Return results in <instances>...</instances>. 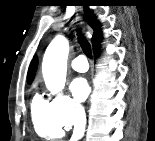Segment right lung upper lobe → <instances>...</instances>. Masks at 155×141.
Returning a JSON list of instances; mask_svg holds the SVG:
<instances>
[{
  "mask_svg": "<svg viewBox=\"0 0 155 141\" xmlns=\"http://www.w3.org/2000/svg\"><path fill=\"white\" fill-rule=\"evenodd\" d=\"M91 14H92V12L88 8H86L85 9L86 19L90 20L89 25L94 30V36L92 38V42L94 43L97 40V38L101 35V32H100L99 22L94 17L90 19ZM36 69H37V59H36V57H34L30 66H29V70H28V75H27V83L28 84H30L33 81Z\"/></svg>",
  "mask_w": 155,
  "mask_h": 141,
  "instance_id": "cb5924a9",
  "label": "right lung upper lobe"
}]
</instances>
